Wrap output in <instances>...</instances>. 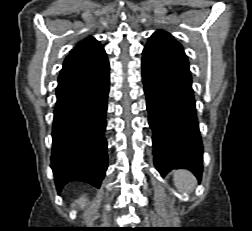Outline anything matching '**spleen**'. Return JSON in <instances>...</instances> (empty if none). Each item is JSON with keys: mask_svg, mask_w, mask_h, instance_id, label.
<instances>
[{"mask_svg": "<svg viewBox=\"0 0 252 231\" xmlns=\"http://www.w3.org/2000/svg\"><path fill=\"white\" fill-rule=\"evenodd\" d=\"M173 181L180 192H192L197 184L195 176L188 170H176Z\"/></svg>", "mask_w": 252, "mask_h": 231, "instance_id": "spleen-1", "label": "spleen"}]
</instances>
